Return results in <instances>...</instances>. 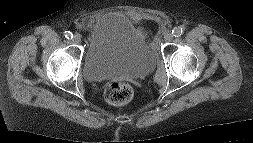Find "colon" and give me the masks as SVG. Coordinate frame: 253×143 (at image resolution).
I'll return each instance as SVG.
<instances>
[{
    "mask_svg": "<svg viewBox=\"0 0 253 143\" xmlns=\"http://www.w3.org/2000/svg\"><path fill=\"white\" fill-rule=\"evenodd\" d=\"M133 93V88L129 83L116 81L106 87L105 98L110 104L124 105L132 99Z\"/></svg>",
    "mask_w": 253,
    "mask_h": 143,
    "instance_id": "1",
    "label": "colon"
}]
</instances>
